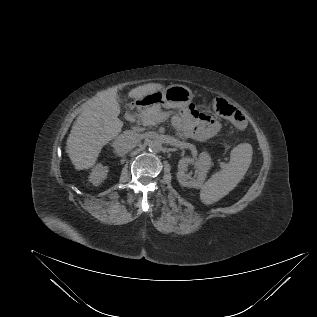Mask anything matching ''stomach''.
Masks as SVG:
<instances>
[{
  "label": "stomach",
  "instance_id": "obj_1",
  "mask_svg": "<svg viewBox=\"0 0 317 317\" xmlns=\"http://www.w3.org/2000/svg\"><path fill=\"white\" fill-rule=\"evenodd\" d=\"M192 99L193 94L188 87L175 84L148 94L138 101L144 107L158 105L167 109H182L187 107Z\"/></svg>",
  "mask_w": 317,
  "mask_h": 317
}]
</instances>
